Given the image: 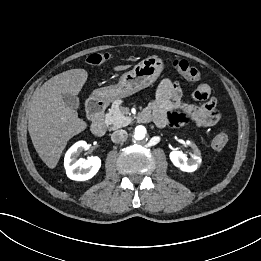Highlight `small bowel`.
Masks as SVG:
<instances>
[{"label": "small bowel", "instance_id": "obj_1", "mask_svg": "<svg viewBox=\"0 0 261 261\" xmlns=\"http://www.w3.org/2000/svg\"><path fill=\"white\" fill-rule=\"evenodd\" d=\"M210 95V86L200 82L193 92V98L199 103L183 102L180 84L171 79H164L157 88L155 100L143 111L146 114L143 121L152 120L158 127L167 124L180 125L187 120L200 127L214 126L220 120V115L216 101Z\"/></svg>", "mask_w": 261, "mask_h": 261}]
</instances>
